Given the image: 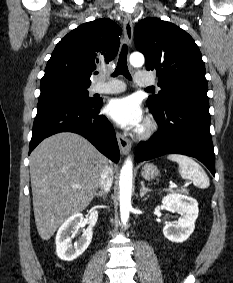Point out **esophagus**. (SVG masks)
<instances>
[{"label": "esophagus", "instance_id": "obj_1", "mask_svg": "<svg viewBox=\"0 0 233 283\" xmlns=\"http://www.w3.org/2000/svg\"><path fill=\"white\" fill-rule=\"evenodd\" d=\"M124 40L128 45H131L133 39V21L129 14L124 17ZM117 141L119 144L120 152L123 155L128 154L131 149V142L128 138L123 136L121 133H117Z\"/></svg>", "mask_w": 233, "mask_h": 283}]
</instances>
